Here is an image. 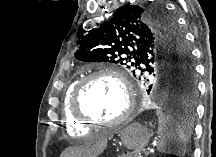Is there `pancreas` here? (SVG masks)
Returning <instances> with one entry per match:
<instances>
[{"label": "pancreas", "instance_id": "obj_1", "mask_svg": "<svg viewBox=\"0 0 216 157\" xmlns=\"http://www.w3.org/2000/svg\"><path fill=\"white\" fill-rule=\"evenodd\" d=\"M144 152V154H145V157H147V155L149 154L148 152H146V151H144V150H142V149H139V150H136V151H134V152H132V153H129L128 155H127V157H143L142 156V153Z\"/></svg>", "mask_w": 216, "mask_h": 157}]
</instances>
